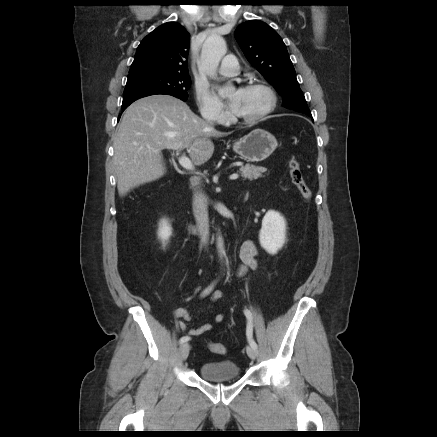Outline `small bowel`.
Listing matches in <instances>:
<instances>
[{"mask_svg": "<svg viewBox=\"0 0 437 437\" xmlns=\"http://www.w3.org/2000/svg\"><path fill=\"white\" fill-rule=\"evenodd\" d=\"M258 255V249L256 244L253 241H245L240 248V258H241V267L240 272H245L247 269H254L257 266L256 257ZM223 298V293L221 291H216L211 296L212 302H216ZM173 315L182 319L178 323V327L181 331L187 332L191 336H199L205 332L212 330L213 325L211 323H205L197 328L189 327L188 323L191 320V315L187 311V309L183 307H179L173 311ZM224 319L223 314H218L215 317V322L220 323Z\"/></svg>", "mask_w": 437, "mask_h": 437, "instance_id": "obj_1", "label": "small bowel"}]
</instances>
